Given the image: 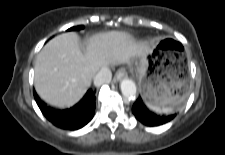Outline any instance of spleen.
Instances as JSON below:
<instances>
[{"instance_id":"spleen-1","label":"spleen","mask_w":225,"mask_h":155,"mask_svg":"<svg viewBox=\"0 0 225 155\" xmlns=\"http://www.w3.org/2000/svg\"><path fill=\"white\" fill-rule=\"evenodd\" d=\"M147 107L156 112V113H163V114H169V113H172L174 108L171 107V106H167V107H158V106H154V105H151L149 103H147Z\"/></svg>"}]
</instances>
